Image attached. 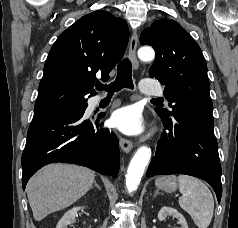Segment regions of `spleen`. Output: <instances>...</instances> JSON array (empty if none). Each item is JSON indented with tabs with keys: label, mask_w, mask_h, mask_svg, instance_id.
Here are the masks:
<instances>
[{
	"label": "spleen",
	"mask_w": 238,
	"mask_h": 228,
	"mask_svg": "<svg viewBox=\"0 0 238 228\" xmlns=\"http://www.w3.org/2000/svg\"><path fill=\"white\" fill-rule=\"evenodd\" d=\"M180 207L193 219L198 228H207L212 220L214 199L209 188L196 177L179 175Z\"/></svg>",
	"instance_id": "obj_1"
}]
</instances>
